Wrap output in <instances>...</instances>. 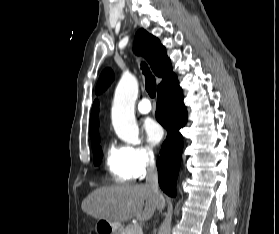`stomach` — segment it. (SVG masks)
I'll return each instance as SVG.
<instances>
[{
    "label": "stomach",
    "instance_id": "1",
    "mask_svg": "<svg viewBox=\"0 0 279 234\" xmlns=\"http://www.w3.org/2000/svg\"><path fill=\"white\" fill-rule=\"evenodd\" d=\"M97 234H121L123 227L118 222H108L103 219H99L95 225Z\"/></svg>",
    "mask_w": 279,
    "mask_h": 234
}]
</instances>
